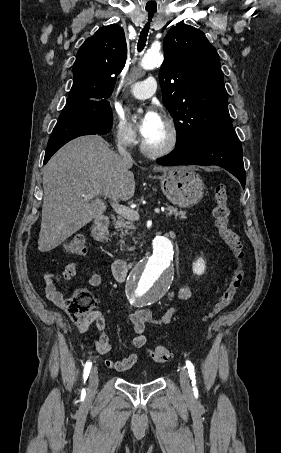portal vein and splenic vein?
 Returning <instances> with one entry per match:
<instances>
[{
  "label": "portal vein and splenic vein",
  "mask_w": 281,
  "mask_h": 453,
  "mask_svg": "<svg viewBox=\"0 0 281 453\" xmlns=\"http://www.w3.org/2000/svg\"><path fill=\"white\" fill-rule=\"evenodd\" d=\"M83 198H94V196H98V194H82ZM112 208H114L115 212L124 216V218H128V220H139V212L138 210H133V208H128V206H123V204H111ZM160 212V208H155L154 214Z\"/></svg>",
  "instance_id": "portal-vein-and-splenic-vein-1"
}]
</instances>
